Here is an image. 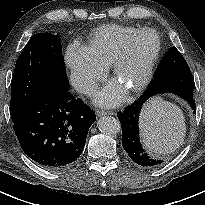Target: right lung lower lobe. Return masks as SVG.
<instances>
[{
  "mask_svg": "<svg viewBox=\"0 0 205 205\" xmlns=\"http://www.w3.org/2000/svg\"><path fill=\"white\" fill-rule=\"evenodd\" d=\"M95 119V113L68 89L39 98L13 122V128L28 157L58 171L76 163Z\"/></svg>",
  "mask_w": 205,
  "mask_h": 205,
  "instance_id": "1",
  "label": "right lung lower lobe"
}]
</instances>
